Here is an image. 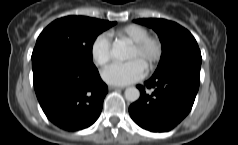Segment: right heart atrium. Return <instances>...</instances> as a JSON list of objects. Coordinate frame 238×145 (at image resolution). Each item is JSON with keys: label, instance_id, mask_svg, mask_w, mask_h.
<instances>
[{"label": "right heart atrium", "instance_id": "1", "mask_svg": "<svg viewBox=\"0 0 238 145\" xmlns=\"http://www.w3.org/2000/svg\"><path fill=\"white\" fill-rule=\"evenodd\" d=\"M90 54L92 60L98 66L103 67L111 61L112 47L107 35L100 34L92 41Z\"/></svg>", "mask_w": 238, "mask_h": 145}]
</instances>
